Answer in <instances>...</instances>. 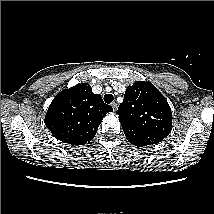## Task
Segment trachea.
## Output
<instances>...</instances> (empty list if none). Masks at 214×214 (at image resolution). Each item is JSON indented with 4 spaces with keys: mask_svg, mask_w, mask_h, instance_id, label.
<instances>
[{
    "mask_svg": "<svg viewBox=\"0 0 214 214\" xmlns=\"http://www.w3.org/2000/svg\"><path fill=\"white\" fill-rule=\"evenodd\" d=\"M114 99V96L112 94H106L104 96V101L107 103V104H110Z\"/></svg>",
    "mask_w": 214,
    "mask_h": 214,
    "instance_id": "3493384b",
    "label": "trachea"
}]
</instances>
